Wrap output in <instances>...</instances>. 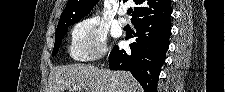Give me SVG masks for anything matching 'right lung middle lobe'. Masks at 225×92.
I'll return each mask as SVG.
<instances>
[{
	"label": "right lung middle lobe",
	"instance_id": "1",
	"mask_svg": "<svg viewBox=\"0 0 225 92\" xmlns=\"http://www.w3.org/2000/svg\"><path fill=\"white\" fill-rule=\"evenodd\" d=\"M71 25L72 24L57 26L56 33H55V45L53 48L52 56L57 54L60 44H61V41H62L63 37L65 36V34L67 33L68 27Z\"/></svg>",
	"mask_w": 225,
	"mask_h": 92
}]
</instances>
